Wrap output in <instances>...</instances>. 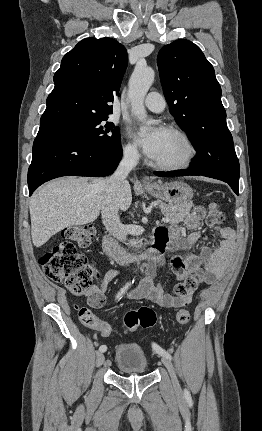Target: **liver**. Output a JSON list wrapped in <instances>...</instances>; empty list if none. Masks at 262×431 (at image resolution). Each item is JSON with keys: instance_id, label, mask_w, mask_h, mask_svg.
Returning <instances> with one entry per match:
<instances>
[{"instance_id": "liver-1", "label": "liver", "mask_w": 262, "mask_h": 431, "mask_svg": "<svg viewBox=\"0 0 262 431\" xmlns=\"http://www.w3.org/2000/svg\"><path fill=\"white\" fill-rule=\"evenodd\" d=\"M104 179L65 177L40 187L29 204L33 244L40 247L64 228L97 219L106 196ZM132 202L129 182L118 197L121 211Z\"/></svg>"}]
</instances>
